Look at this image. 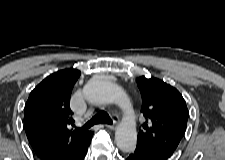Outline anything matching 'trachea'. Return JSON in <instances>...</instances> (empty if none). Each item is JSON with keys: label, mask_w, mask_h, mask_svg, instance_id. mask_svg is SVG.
<instances>
[{"label": "trachea", "mask_w": 225, "mask_h": 160, "mask_svg": "<svg viewBox=\"0 0 225 160\" xmlns=\"http://www.w3.org/2000/svg\"><path fill=\"white\" fill-rule=\"evenodd\" d=\"M99 123H106V124H112V120L110 116L105 111L98 112L90 121H88L82 128L79 130H87L91 128L92 126L99 124Z\"/></svg>", "instance_id": "3493384b"}]
</instances>
